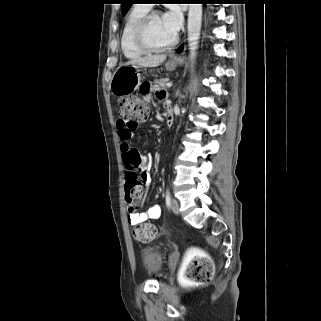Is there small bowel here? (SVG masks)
Wrapping results in <instances>:
<instances>
[{
    "instance_id": "obj_1",
    "label": "small bowel",
    "mask_w": 321,
    "mask_h": 321,
    "mask_svg": "<svg viewBox=\"0 0 321 321\" xmlns=\"http://www.w3.org/2000/svg\"><path fill=\"white\" fill-rule=\"evenodd\" d=\"M154 91L157 99L163 101L164 106L167 111H171V105L168 101L167 93L159 88L152 87L149 82H140L139 87H137L136 92L137 96L143 97V101L146 105L151 103L150 100V92ZM117 130H118V137L120 141V149L122 152V157L125 165L127 164V160L130 154L134 152H138L136 149L132 148L129 144V140L134 135L135 128H131L121 122L120 120L117 121ZM143 157V156H142ZM146 162V166L144 169L140 171V176L142 181L145 184L151 183V176L149 174L148 162L146 158L143 157ZM161 216V207L158 204L151 205L141 212H134L129 213L128 215V223L132 226L140 225L145 223L148 220H155Z\"/></svg>"
}]
</instances>
